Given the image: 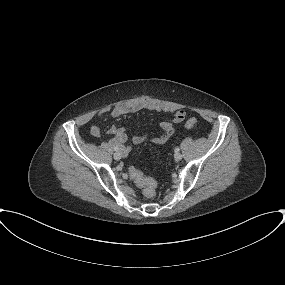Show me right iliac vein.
Returning <instances> with one entry per match:
<instances>
[{"label":"right iliac vein","instance_id":"obj_1","mask_svg":"<svg viewBox=\"0 0 285 285\" xmlns=\"http://www.w3.org/2000/svg\"><path fill=\"white\" fill-rule=\"evenodd\" d=\"M128 154L123 153V152H115L113 157L115 160H120L121 157H126Z\"/></svg>","mask_w":285,"mask_h":285}]
</instances>
